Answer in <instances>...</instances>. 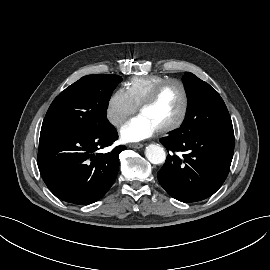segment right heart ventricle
<instances>
[{
    "label": "right heart ventricle",
    "instance_id": "right-heart-ventricle-1",
    "mask_svg": "<svg viewBox=\"0 0 270 270\" xmlns=\"http://www.w3.org/2000/svg\"><path fill=\"white\" fill-rule=\"evenodd\" d=\"M168 79L161 75L136 76L125 83V92L138 108L156 85Z\"/></svg>",
    "mask_w": 270,
    "mask_h": 270
}]
</instances>
